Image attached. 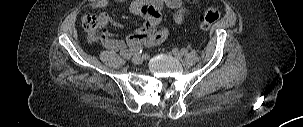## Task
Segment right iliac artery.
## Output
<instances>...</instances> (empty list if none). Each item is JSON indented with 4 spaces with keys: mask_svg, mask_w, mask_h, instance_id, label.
I'll return each mask as SVG.
<instances>
[{
    "mask_svg": "<svg viewBox=\"0 0 303 127\" xmlns=\"http://www.w3.org/2000/svg\"><path fill=\"white\" fill-rule=\"evenodd\" d=\"M143 51L142 47H134L130 49V54L139 55Z\"/></svg>",
    "mask_w": 303,
    "mask_h": 127,
    "instance_id": "right-iliac-artery-1",
    "label": "right iliac artery"
}]
</instances>
